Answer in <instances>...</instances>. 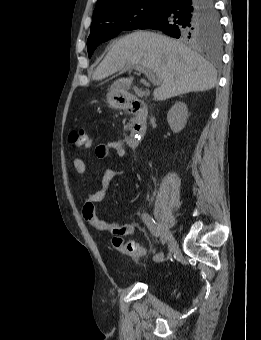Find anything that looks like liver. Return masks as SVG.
<instances>
[{
  "label": "liver",
  "instance_id": "obj_1",
  "mask_svg": "<svg viewBox=\"0 0 261 340\" xmlns=\"http://www.w3.org/2000/svg\"><path fill=\"white\" fill-rule=\"evenodd\" d=\"M142 65L159 78L160 86L153 92L157 101L210 90L217 83L216 70L197 52L177 40L147 31H136L119 39L92 79L100 81L120 70ZM132 81L133 77L121 78L111 88H128Z\"/></svg>",
  "mask_w": 261,
  "mask_h": 340
}]
</instances>
